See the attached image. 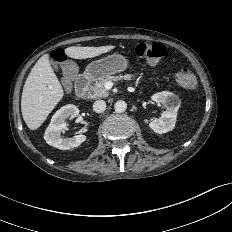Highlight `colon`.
<instances>
[{"mask_svg": "<svg viewBox=\"0 0 232 232\" xmlns=\"http://www.w3.org/2000/svg\"><path fill=\"white\" fill-rule=\"evenodd\" d=\"M136 55L150 62H156L162 59L167 54V48L160 43L141 42L135 46ZM52 59L57 62H65L66 56L63 50L56 49L51 53ZM73 70L71 66L65 69L66 76H70ZM176 84L185 89H191L196 84L194 74L186 67H181L174 74Z\"/></svg>", "mask_w": 232, "mask_h": 232, "instance_id": "5ec220e1", "label": "colon"}]
</instances>
